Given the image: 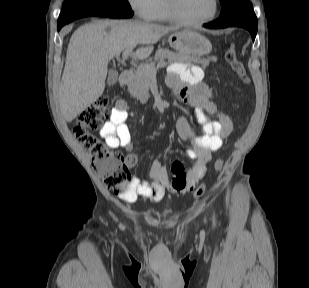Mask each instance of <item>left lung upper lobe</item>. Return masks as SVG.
Here are the masks:
<instances>
[{"mask_svg":"<svg viewBox=\"0 0 309 288\" xmlns=\"http://www.w3.org/2000/svg\"><path fill=\"white\" fill-rule=\"evenodd\" d=\"M220 2L222 7L220 19L229 18L252 9V4L249 0H220Z\"/></svg>","mask_w":309,"mask_h":288,"instance_id":"5c2ea615","label":"left lung upper lobe"}]
</instances>
